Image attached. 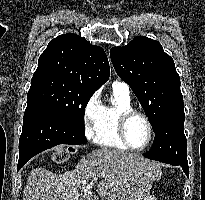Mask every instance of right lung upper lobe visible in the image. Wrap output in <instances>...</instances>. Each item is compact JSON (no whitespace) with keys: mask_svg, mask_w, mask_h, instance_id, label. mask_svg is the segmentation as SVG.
<instances>
[{"mask_svg":"<svg viewBox=\"0 0 205 200\" xmlns=\"http://www.w3.org/2000/svg\"><path fill=\"white\" fill-rule=\"evenodd\" d=\"M109 72L107 55L101 47L68 33L49 42L32 79L59 78L96 91L108 80Z\"/></svg>","mask_w":205,"mask_h":200,"instance_id":"1","label":"right lung upper lobe"}]
</instances>
